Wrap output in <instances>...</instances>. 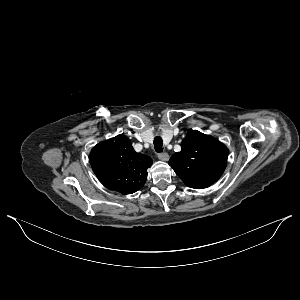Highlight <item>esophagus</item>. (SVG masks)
Instances as JSON below:
<instances>
[{"mask_svg": "<svg viewBox=\"0 0 300 300\" xmlns=\"http://www.w3.org/2000/svg\"><path fill=\"white\" fill-rule=\"evenodd\" d=\"M158 158H159L161 161H168L169 155H168V153H166V152L159 153V154H158Z\"/></svg>", "mask_w": 300, "mask_h": 300, "instance_id": "obj_1", "label": "esophagus"}]
</instances>
